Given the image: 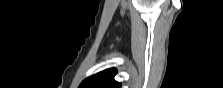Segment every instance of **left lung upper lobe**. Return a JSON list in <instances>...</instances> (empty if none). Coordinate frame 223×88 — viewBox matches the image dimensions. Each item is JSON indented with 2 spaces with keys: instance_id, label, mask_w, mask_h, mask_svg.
<instances>
[{
  "instance_id": "obj_1",
  "label": "left lung upper lobe",
  "mask_w": 223,
  "mask_h": 88,
  "mask_svg": "<svg viewBox=\"0 0 223 88\" xmlns=\"http://www.w3.org/2000/svg\"><path fill=\"white\" fill-rule=\"evenodd\" d=\"M116 69H108L85 79L79 88H120L121 83L114 80Z\"/></svg>"
}]
</instances>
